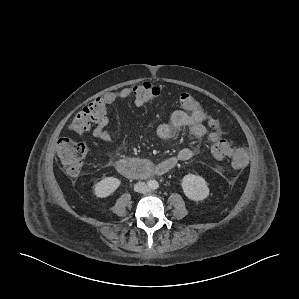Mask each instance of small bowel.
<instances>
[{"mask_svg":"<svg viewBox=\"0 0 299 299\" xmlns=\"http://www.w3.org/2000/svg\"><path fill=\"white\" fill-rule=\"evenodd\" d=\"M131 95H133L131 88L127 87L120 91L108 92L102 98L106 105H110L119 100L127 99ZM134 104L137 107H141L144 105V102L135 98ZM207 117L205 111L200 108L191 112L176 110L171 114L169 122L159 125L157 128V135L161 139L168 140L173 138L179 131L186 130L196 139H203L208 135V129L205 126ZM108 125L109 118L104 114L96 122L92 135L94 138L99 139L104 143L111 144L112 136L109 132ZM194 153L192 148H182L175 156L166 158L157 164H153L156 168V175L165 174L173 169L179 162L190 160L194 156Z\"/></svg>","mask_w":299,"mask_h":299,"instance_id":"c3829d8e","label":"small bowel"}]
</instances>
